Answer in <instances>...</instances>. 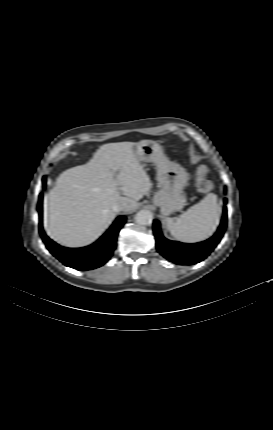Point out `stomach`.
<instances>
[{
    "mask_svg": "<svg viewBox=\"0 0 273 430\" xmlns=\"http://www.w3.org/2000/svg\"><path fill=\"white\" fill-rule=\"evenodd\" d=\"M135 156L139 163L152 162L157 166L159 190L152 201L160 208L161 214L167 216L181 210L185 205L183 189L188 180L185 169L178 163L169 161L162 146L156 141H140L136 146Z\"/></svg>",
    "mask_w": 273,
    "mask_h": 430,
    "instance_id": "0dacf381",
    "label": "stomach"
}]
</instances>
